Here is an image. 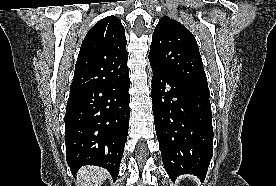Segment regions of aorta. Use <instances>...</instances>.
Wrapping results in <instances>:
<instances>
[{"label":"aorta","mask_w":276,"mask_h":186,"mask_svg":"<svg viewBox=\"0 0 276 186\" xmlns=\"http://www.w3.org/2000/svg\"><path fill=\"white\" fill-rule=\"evenodd\" d=\"M153 71H152V69L151 68H149V73L151 74Z\"/></svg>","instance_id":"aorta-1"}]
</instances>
